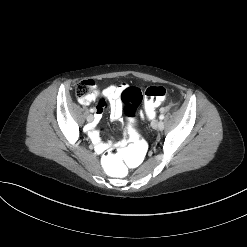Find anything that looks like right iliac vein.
Returning a JSON list of instances; mask_svg holds the SVG:
<instances>
[{
    "instance_id": "63e3f726",
    "label": "right iliac vein",
    "mask_w": 247,
    "mask_h": 247,
    "mask_svg": "<svg viewBox=\"0 0 247 247\" xmlns=\"http://www.w3.org/2000/svg\"><path fill=\"white\" fill-rule=\"evenodd\" d=\"M93 119H94V117H93L92 114H89V115L87 116V121H88V122H92Z\"/></svg>"
}]
</instances>
